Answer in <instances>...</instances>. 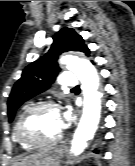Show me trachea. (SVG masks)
Masks as SVG:
<instances>
[{"label": "trachea", "instance_id": "3493384b", "mask_svg": "<svg viewBox=\"0 0 135 166\" xmlns=\"http://www.w3.org/2000/svg\"><path fill=\"white\" fill-rule=\"evenodd\" d=\"M73 89H79V86L74 87Z\"/></svg>", "mask_w": 135, "mask_h": 166}]
</instances>
